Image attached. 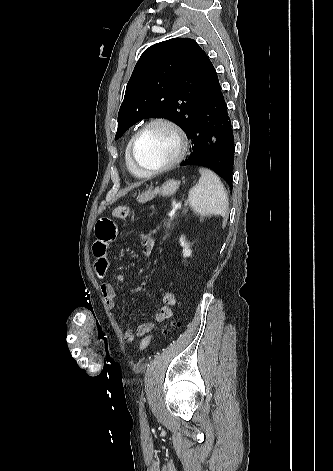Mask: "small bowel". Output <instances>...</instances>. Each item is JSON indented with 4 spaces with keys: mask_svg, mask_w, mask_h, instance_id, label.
Segmentation results:
<instances>
[{
    "mask_svg": "<svg viewBox=\"0 0 333 471\" xmlns=\"http://www.w3.org/2000/svg\"><path fill=\"white\" fill-rule=\"evenodd\" d=\"M118 227L116 222L110 217H101L97 220L95 225L96 240L93 244V255L95 258L94 267L97 275L104 278L110 267V262L107 256L109 244L116 238ZM143 242L144 252L147 257H151L154 248V239L149 234L141 236ZM125 282V276L121 273L114 275L113 282L101 283V292L103 295L105 305L113 309L116 305V291L115 286L121 285ZM163 305L159 311L154 315L153 321L145 322L134 328H127L124 332V338L127 342H133L135 337H142L155 328L156 323H162L173 315V308L176 305V296L174 293L167 291L162 296Z\"/></svg>",
    "mask_w": 333,
    "mask_h": 471,
    "instance_id": "small-bowel-1",
    "label": "small bowel"
}]
</instances>
